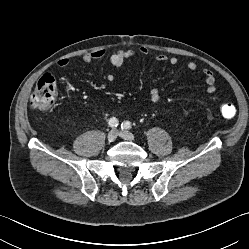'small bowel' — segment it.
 Wrapping results in <instances>:
<instances>
[{
	"label": "small bowel",
	"mask_w": 249,
	"mask_h": 249,
	"mask_svg": "<svg viewBox=\"0 0 249 249\" xmlns=\"http://www.w3.org/2000/svg\"><path fill=\"white\" fill-rule=\"evenodd\" d=\"M140 55L148 56L149 51L146 48H141L139 50ZM106 56L105 50L99 49L93 52L87 53L83 56V61L85 63H90L94 60L102 59ZM134 56V51L132 50H124V49H117L112 52L109 56V62L113 69V71L118 70L126 60L132 58ZM155 60L159 62L163 69H166L168 66H176L180 63V59L176 56H168L163 53H159L155 55ZM74 61L73 58H62L58 60L57 65L59 67H67ZM186 69L191 72H195L198 68L197 64L194 61L188 60L184 63ZM202 74L204 77V81L206 84V91L210 94L216 91V79L213 71L209 68H203ZM114 73L111 72L107 75V79L109 81L114 80ZM161 100V94L157 87H152L150 89V102L152 104H157Z\"/></svg>",
	"instance_id": "small-bowel-1"
}]
</instances>
